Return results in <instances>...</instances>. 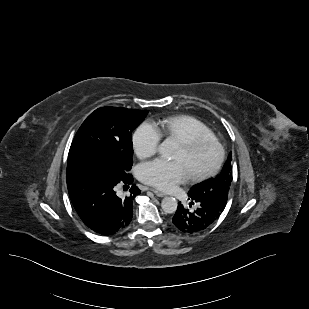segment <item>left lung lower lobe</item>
Masks as SVG:
<instances>
[{"label":"left lung lower lobe","instance_id":"left-lung-lower-lobe-1","mask_svg":"<svg viewBox=\"0 0 309 309\" xmlns=\"http://www.w3.org/2000/svg\"><path fill=\"white\" fill-rule=\"evenodd\" d=\"M192 204L196 202L194 210H188L178 203L177 211L172 218L174 227L184 234H197L211 227L223 212L226 202L194 196L188 192ZM191 207V204H190Z\"/></svg>","mask_w":309,"mask_h":309}]
</instances>
